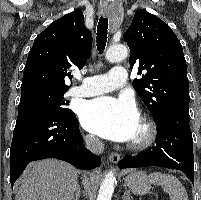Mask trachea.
I'll return each mask as SVG.
<instances>
[{"label": "trachea", "mask_w": 201, "mask_h": 200, "mask_svg": "<svg viewBox=\"0 0 201 200\" xmlns=\"http://www.w3.org/2000/svg\"><path fill=\"white\" fill-rule=\"evenodd\" d=\"M107 29H108V19L100 17L98 26H97V49L100 54L103 53L106 42H107Z\"/></svg>", "instance_id": "3493384b"}]
</instances>
